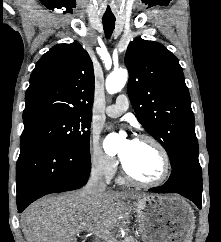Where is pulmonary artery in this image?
Wrapping results in <instances>:
<instances>
[{
  "instance_id": "obj_1",
  "label": "pulmonary artery",
  "mask_w": 221,
  "mask_h": 242,
  "mask_svg": "<svg viewBox=\"0 0 221 242\" xmlns=\"http://www.w3.org/2000/svg\"><path fill=\"white\" fill-rule=\"evenodd\" d=\"M129 107V100L125 94L117 96L114 104H111L105 108V114L110 117H118L124 113Z\"/></svg>"
}]
</instances>
